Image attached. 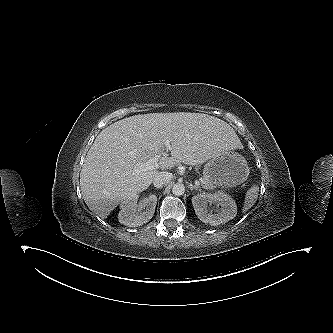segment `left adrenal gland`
I'll use <instances>...</instances> for the list:
<instances>
[{
    "mask_svg": "<svg viewBox=\"0 0 333 333\" xmlns=\"http://www.w3.org/2000/svg\"><path fill=\"white\" fill-rule=\"evenodd\" d=\"M189 188H190L191 191H193V190H198V191L201 192V188H199V187L196 186V185H192V184H190V185H189Z\"/></svg>",
    "mask_w": 333,
    "mask_h": 333,
    "instance_id": "a2214340",
    "label": "left adrenal gland"
}]
</instances>
